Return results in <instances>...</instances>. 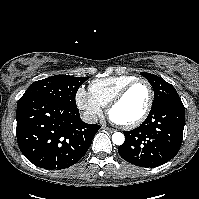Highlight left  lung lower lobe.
I'll list each match as a JSON object with an SVG mask.
<instances>
[{"mask_svg": "<svg viewBox=\"0 0 199 199\" xmlns=\"http://www.w3.org/2000/svg\"><path fill=\"white\" fill-rule=\"evenodd\" d=\"M185 110L179 98L169 99L151 111L139 127L124 131L125 142L120 156L136 166L154 168L178 153L183 136Z\"/></svg>", "mask_w": 199, "mask_h": 199, "instance_id": "left-lung-lower-lobe-1", "label": "left lung lower lobe"}]
</instances>
